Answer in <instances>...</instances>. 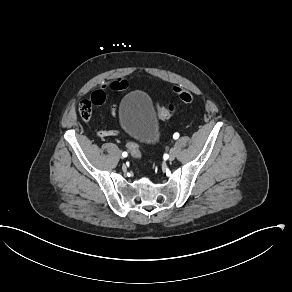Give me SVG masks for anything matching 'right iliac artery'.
<instances>
[{
    "instance_id": "right-iliac-artery-1",
    "label": "right iliac artery",
    "mask_w": 292,
    "mask_h": 292,
    "mask_svg": "<svg viewBox=\"0 0 292 292\" xmlns=\"http://www.w3.org/2000/svg\"><path fill=\"white\" fill-rule=\"evenodd\" d=\"M127 155H128L127 152H123V153H122V156H123V157H127Z\"/></svg>"
}]
</instances>
